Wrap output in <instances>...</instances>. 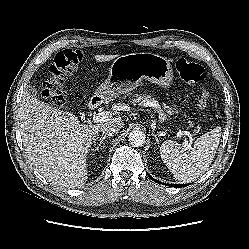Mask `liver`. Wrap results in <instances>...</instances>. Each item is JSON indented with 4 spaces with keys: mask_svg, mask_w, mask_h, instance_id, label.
<instances>
[{
    "mask_svg": "<svg viewBox=\"0 0 249 249\" xmlns=\"http://www.w3.org/2000/svg\"><path fill=\"white\" fill-rule=\"evenodd\" d=\"M116 55H95L97 62ZM19 129L28 160L53 184L77 188L87 179L86 157L105 124L124 126L121 117L97 124H80L78 118L58 110L24 91L18 108Z\"/></svg>",
    "mask_w": 249,
    "mask_h": 249,
    "instance_id": "liver-1",
    "label": "liver"
}]
</instances>
